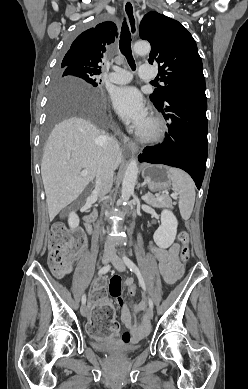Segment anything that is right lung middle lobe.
<instances>
[{"instance_id":"1","label":"right lung middle lobe","mask_w":248,"mask_h":389,"mask_svg":"<svg viewBox=\"0 0 248 389\" xmlns=\"http://www.w3.org/2000/svg\"><path fill=\"white\" fill-rule=\"evenodd\" d=\"M100 72L87 68L61 64L55 75L57 86L78 83L86 87H97L99 85L98 75ZM49 127L56 121L72 114H81L98 121L102 117L100 105H91L82 100L71 102L52 101L49 108Z\"/></svg>"}]
</instances>
